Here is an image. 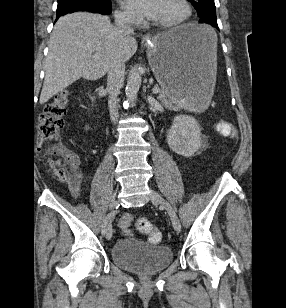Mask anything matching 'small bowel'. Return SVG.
I'll list each match as a JSON object with an SVG mask.
<instances>
[{
	"mask_svg": "<svg viewBox=\"0 0 286 308\" xmlns=\"http://www.w3.org/2000/svg\"><path fill=\"white\" fill-rule=\"evenodd\" d=\"M87 129L88 127H86V130ZM229 131H230V126H229ZM231 135L235 137L236 133L233 131ZM84 143H86V140H84ZM70 160H71L72 165L76 167L77 166L76 158L73 156H70ZM80 182H81V175L78 171H75L68 183L69 190L72 196L75 198H78L80 195ZM131 222H132V216L130 214H124L119 220V226L125 232H128Z\"/></svg>",
	"mask_w": 286,
	"mask_h": 308,
	"instance_id": "obj_1",
	"label": "small bowel"
}]
</instances>
